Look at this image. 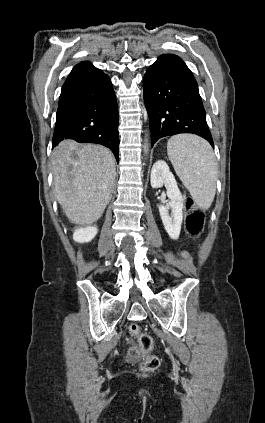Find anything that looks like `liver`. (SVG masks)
Returning <instances> with one entry per match:
<instances>
[{
    "label": "liver",
    "mask_w": 265,
    "mask_h": 423,
    "mask_svg": "<svg viewBox=\"0 0 265 423\" xmlns=\"http://www.w3.org/2000/svg\"><path fill=\"white\" fill-rule=\"evenodd\" d=\"M56 198L70 222L91 225L111 200L116 175L111 151L101 145L62 141L52 153Z\"/></svg>",
    "instance_id": "1"
}]
</instances>
